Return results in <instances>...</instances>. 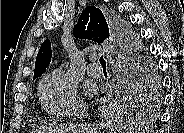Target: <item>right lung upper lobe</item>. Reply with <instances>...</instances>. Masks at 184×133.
<instances>
[{"label":"right lung upper lobe","mask_w":184,"mask_h":133,"mask_svg":"<svg viewBox=\"0 0 184 133\" xmlns=\"http://www.w3.org/2000/svg\"><path fill=\"white\" fill-rule=\"evenodd\" d=\"M73 34L75 38L89 39L99 44L110 37L116 39L109 19L107 20L102 11L95 6H89L82 11L73 29ZM51 56V43L49 40H46L41 45L36 57L33 80L45 72L50 64Z\"/></svg>","instance_id":"obj_1"}]
</instances>
